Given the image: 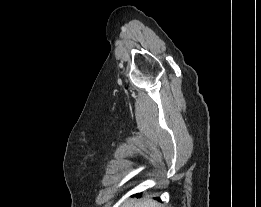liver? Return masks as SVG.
I'll list each match as a JSON object with an SVG mask.
<instances>
[{"mask_svg": "<svg viewBox=\"0 0 261 207\" xmlns=\"http://www.w3.org/2000/svg\"><path fill=\"white\" fill-rule=\"evenodd\" d=\"M124 207H160L159 204L151 199H143L140 201L130 200Z\"/></svg>", "mask_w": 261, "mask_h": 207, "instance_id": "6515ba94", "label": "liver"}]
</instances>
